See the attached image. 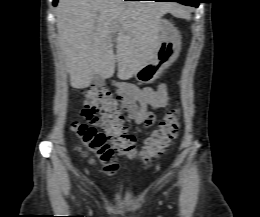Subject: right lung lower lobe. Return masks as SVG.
Instances as JSON below:
<instances>
[{
  "label": "right lung lower lobe",
  "mask_w": 260,
  "mask_h": 217,
  "mask_svg": "<svg viewBox=\"0 0 260 217\" xmlns=\"http://www.w3.org/2000/svg\"><path fill=\"white\" fill-rule=\"evenodd\" d=\"M127 1V0H126ZM58 0H53V5L56 6L57 5Z\"/></svg>",
  "instance_id": "1"
}]
</instances>
